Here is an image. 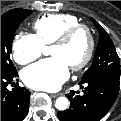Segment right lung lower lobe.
<instances>
[{"label":"right lung lower lobe","mask_w":121,"mask_h":121,"mask_svg":"<svg viewBox=\"0 0 121 121\" xmlns=\"http://www.w3.org/2000/svg\"><path fill=\"white\" fill-rule=\"evenodd\" d=\"M17 76V71L1 73V121H22L28 113L30 92L18 84L7 89Z\"/></svg>","instance_id":"right-lung-lower-lobe-1"}]
</instances>
